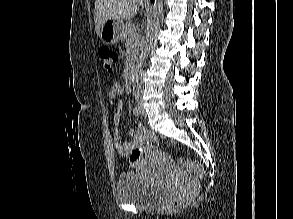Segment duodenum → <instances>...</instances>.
Masks as SVG:
<instances>
[{
    "label": "duodenum",
    "mask_w": 293,
    "mask_h": 219,
    "mask_svg": "<svg viewBox=\"0 0 293 219\" xmlns=\"http://www.w3.org/2000/svg\"><path fill=\"white\" fill-rule=\"evenodd\" d=\"M128 80L131 84H135V81H136V67H135V65H131L128 70Z\"/></svg>",
    "instance_id": "410a0bca"
}]
</instances>
